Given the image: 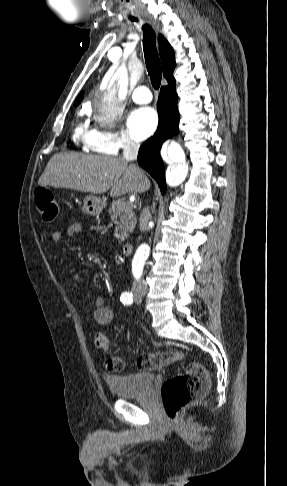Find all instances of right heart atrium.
Here are the masks:
<instances>
[{"label": "right heart atrium", "mask_w": 287, "mask_h": 486, "mask_svg": "<svg viewBox=\"0 0 287 486\" xmlns=\"http://www.w3.org/2000/svg\"><path fill=\"white\" fill-rule=\"evenodd\" d=\"M137 143L124 129L112 128L94 130L89 149L103 154L116 155L120 151H129L137 148Z\"/></svg>", "instance_id": "1"}]
</instances>
